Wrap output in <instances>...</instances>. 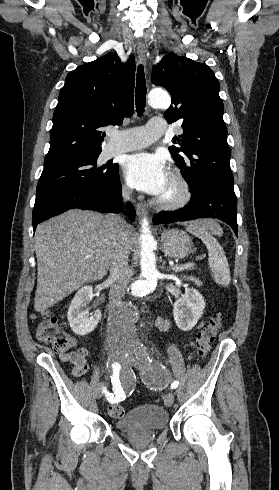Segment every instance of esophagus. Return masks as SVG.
<instances>
[{
	"label": "esophagus",
	"mask_w": 279,
	"mask_h": 490,
	"mask_svg": "<svg viewBox=\"0 0 279 490\" xmlns=\"http://www.w3.org/2000/svg\"><path fill=\"white\" fill-rule=\"evenodd\" d=\"M137 55L139 61L146 67L147 66V51L144 44L137 45ZM146 208L143 203H137V214L142 217L145 214Z\"/></svg>",
	"instance_id": "esophagus-1"
}]
</instances>
